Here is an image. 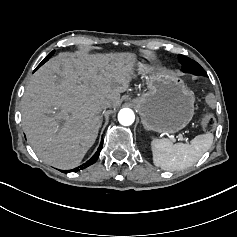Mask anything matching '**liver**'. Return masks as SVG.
<instances>
[{
	"instance_id": "liver-1",
	"label": "liver",
	"mask_w": 237,
	"mask_h": 237,
	"mask_svg": "<svg viewBox=\"0 0 237 237\" xmlns=\"http://www.w3.org/2000/svg\"><path fill=\"white\" fill-rule=\"evenodd\" d=\"M133 53L54 57L34 73L21 100L22 127L36 155L59 169L77 167L100 128V101L116 108L128 89Z\"/></svg>"
}]
</instances>
